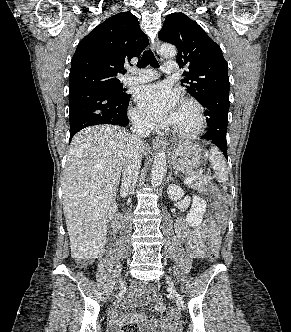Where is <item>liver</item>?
I'll list each match as a JSON object with an SVG mask.
<instances>
[{"instance_id":"liver-1","label":"liver","mask_w":291,"mask_h":332,"mask_svg":"<svg viewBox=\"0 0 291 332\" xmlns=\"http://www.w3.org/2000/svg\"><path fill=\"white\" fill-rule=\"evenodd\" d=\"M131 136L118 126L99 125L81 130L70 143L62 189L72 258L103 255ZM148 151L149 147H141L144 155Z\"/></svg>"}]
</instances>
